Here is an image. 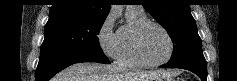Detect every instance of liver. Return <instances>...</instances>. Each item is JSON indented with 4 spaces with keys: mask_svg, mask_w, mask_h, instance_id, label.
Listing matches in <instances>:
<instances>
[{
    "mask_svg": "<svg viewBox=\"0 0 237 81\" xmlns=\"http://www.w3.org/2000/svg\"><path fill=\"white\" fill-rule=\"evenodd\" d=\"M165 74L164 71L124 72L112 65L83 62L64 69L54 81H152Z\"/></svg>",
    "mask_w": 237,
    "mask_h": 81,
    "instance_id": "6515ba94",
    "label": "liver"
}]
</instances>
